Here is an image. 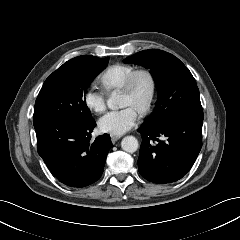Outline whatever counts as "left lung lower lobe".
Listing matches in <instances>:
<instances>
[{
	"label": "left lung lower lobe",
	"mask_w": 240,
	"mask_h": 240,
	"mask_svg": "<svg viewBox=\"0 0 240 240\" xmlns=\"http://www.w3.org/2000/svg\"><path fill=\"white\" fill-rule=\"evenodd\" d=\"M203 119L176 117L161 124H142L138 158L140 174L157 184L181 179L194 164L202 147Z\"/></svg>",
	"instance_id": "1"
}]
</instances>
